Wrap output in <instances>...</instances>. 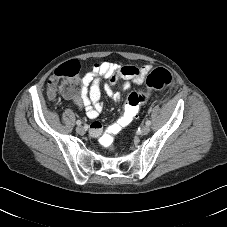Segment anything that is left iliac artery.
<instances>
[{"mask_svg": "<svg viewBox=\"0 0 227 227\" xmlns=\"http://www.w3.org/2000/svg\"><path fill=\"white\" fill-rule=\"evenodd\" d=\"M146 125H147V126H150V125H151V121H150V120H147V121H146Z\"/></svg>", "mask_w": 227, "mask_h": 227, "instance_id": "44dca946", "label": "left iliac artery"}]
</instances>
